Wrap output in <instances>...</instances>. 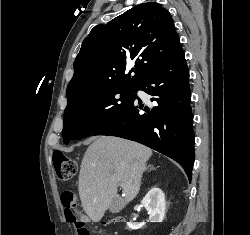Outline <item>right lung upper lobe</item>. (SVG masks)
Returning <instances> with one entry per match:
<instances>
[{"label": "right lung upper lobe", "mask_w": 250, "mask_h": 235, "mask_svg": "<svg viewBox=\"0 0 250 235\" xmlns=\"http://www.w3.org/2000/svg\"><path fill=\"white\" fill-rule=\"evenodd\" d=\"M178 41L172 17L156 2L137 5L108 24L95 26L75 59L68 103L100 89L136 87L168 59ZM131 63L134 67L124 74Z\"/></svg>", "instance_id": "obj_1"}]
</instances>
